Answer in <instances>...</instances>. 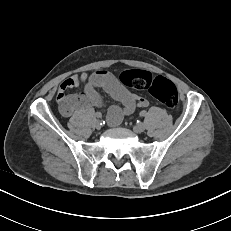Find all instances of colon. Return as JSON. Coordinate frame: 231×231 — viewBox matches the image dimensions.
Masks as SVG:
<instances>
[{"label": "colon", "instance_id": "obj_1", "mask_svg": "<svg viewBox=\"0 0 231 231\" xmlns=\"http://www.w3.org/2000/svg\"><path fill=\"white\" fill-rule=\"evenodd\" d=\"M119 80L125 86L137 90H148L151 95L167 108L175 109L179 104L176 86L166 78L153 77L144 70H128L120 74Z\"/></svg>", "mask_w": 231, "mask_h": 231}]
</instances>
